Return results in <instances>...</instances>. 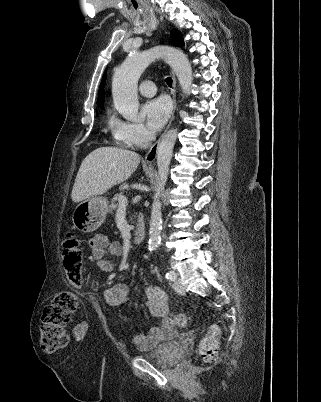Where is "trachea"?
Returning <instances> with one entry per match:
<instances>
[{
  "label": "trachea",
  "instance_id": "1",
  "mask_svg": "<svg viewBox=\"0 0 321 402\" xmlns=\"http://www.w3.org/2000/svg\"><path fill=\"white\" fill-rule=\"evenodd\" d=\"M165 81H166V83H167V85H168L169 87L172 86V78L167 77Z\"/></svg>",
  "mask_w": 321,
  "mask_h": 402
}]
</instances>
